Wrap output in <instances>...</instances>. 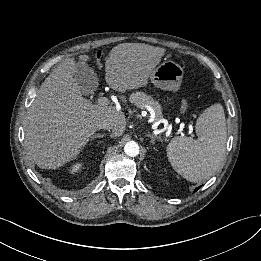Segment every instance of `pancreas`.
I'll return each mask as SVG.
<instances>
[{"label":"pancreas","mask_w":261,"mask_h":261,"mask_svg":"<svg viewBox=\"0 0 261 261\" xmlns=\"http://www.w3.org/2000/svg\"><path fill=\"white\" fill-rule=\"evenodd\" d=\"M129 101L139 108H144V105L151 107L154 111V120L159 121L162 116V109L158 101H155L150 95L145 94L144 92L136 91L133 92Z\"/></svg>","instance_id":"cf45deb5"}]
</instances>
